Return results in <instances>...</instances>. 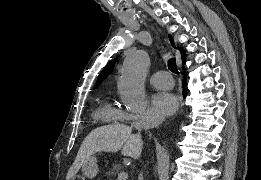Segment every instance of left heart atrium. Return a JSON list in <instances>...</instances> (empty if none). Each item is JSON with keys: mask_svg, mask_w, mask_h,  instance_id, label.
Masks as SVG:
<instances>
[{"mask_svg": "<svg viewBox=\"0 0 261 180\" xmlns=\"http://www.w3.org/2000/svg\"><path fill=\"white\" fill-rule=\"evenodd\" d=\"M177 108V98L168 91L159 90L151 99L149 110L156 114L166 116Z\"/></svg>", "mask_w": 261, "mask_h": 180, "instance_id": "left-heart-atrium-1", "label": "left heart atrium"}]
</instances>
